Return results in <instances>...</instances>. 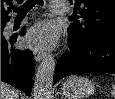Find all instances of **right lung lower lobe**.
<instances>
[{
  "label": "right lung lower lobe",
  "instance_id": "right-lung-lower-lobe-1",
  "mask_svg": "<svg viewBox=\"0 0 115 99\" xmlns=\"http://www.w3.org/2000/svg\"><path fill=\"white\" fill-rule=\"evenodd\" d=\"M5 25L1 29V81L30 95L35 69L33 54L29 50L22 51L13 47L17 35L4 37L2 33ZM24 30L20 35L24 34Z\"/></svg>",
  "mask_w": 115,
  "mask_h": 99
}]
</instances>
